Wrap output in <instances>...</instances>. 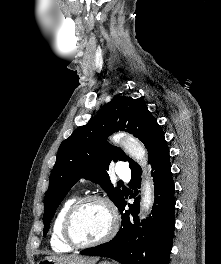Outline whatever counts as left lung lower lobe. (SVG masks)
<instances>
[{"instance_id": "1", "label": "left lung lower lobe", "mask_w": 221, "mask_h": 264, "mask_svg": "<svg viewBox=\"0 0 221 264\" xmlns=\"http://www.w3.org/2000/svg\"><path fill=\"white\" fill-rule=\"evenodd\" d=\"M155 185V201L151 216L139 223L138 190L141 172L132 173L129 186L134 204L125 210L127 196L117 206L122 214L119 232L109 242L81 251L84 255L106 256L121 264H169L174 235V182L171 174L169 149L164 140L149 162ZM142 226V227H140Z\"/></svg>"}]
</instances>
